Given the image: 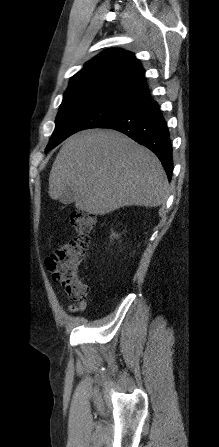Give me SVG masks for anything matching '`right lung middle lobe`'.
I'll return each mask as SVG.
<instances>
[{
  "label": "right lung middle lobe",
  "mask_w": 219,
  "mask_h": 447,
  "mask_svg": "<svg viewBox=\"0 0 219 447\" xmlns=\"http://www.w3.org/2000/svg\"><path fill=\"white\" fill-rule=\"evenodd\" d=\"M143 103L111 87L79 86L68 88L56 117V127L45 152L70 135L84 129L97 128Z\"/></svg>",
  "instance_id": "obj_1"
}]
</instances>
